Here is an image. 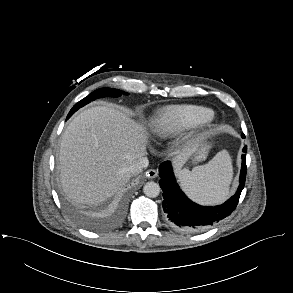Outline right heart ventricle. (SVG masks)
<instances>
[{"mask_svg": "<svg viewBox=\"0 0 293 293\" xmlns=\"http://www.w3.org/2000/svg\"><path fill=\"white\" fill-rule=\"evenodd\" d=\"M213 111L198 105H172L153 119L152 134L161 139L176 136L212 119Z\"/></svg>", "mask_w": 293, "mask_h": 293, "instance_id": "obj_1", "label": "right heart ventricle"}]
</instances>
